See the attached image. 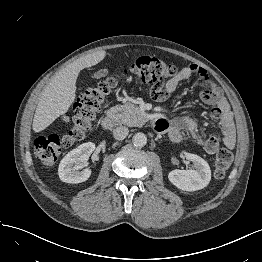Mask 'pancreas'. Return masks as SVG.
<instances>
[{
  "mask_svg": "<svg viewBox=\"0 0 262 262\" xmlns=\"http://www.w3.org/2000/svg\"><path fill=\"white\" fill-rule=\"evenodd\" d=\"M114 119L127 126H142L145 122V113L131 102L111 108Z\"/></svg>",
  "mask_w": 262,
  "mask_h": 262,
  "instance_id": "pancreas-1",
  "label": "pancreas"
}]
</instances>
